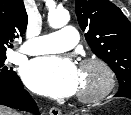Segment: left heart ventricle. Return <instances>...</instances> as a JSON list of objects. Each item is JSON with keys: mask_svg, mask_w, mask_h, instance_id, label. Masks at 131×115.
<instances>
[{"mask_svg": "<svg viewBox=\"0 0 131 115\" xmlns=\"http://www.w3.org/2000/svg\"><path fill=\"white\" fill-rule=\"evenodd\" d=\"M104 76L102 71L95 67L89 66L80 70V82L78 93H91L98 90L103 84Z\"/></svg>", "mask_w": 131, "mask_h": 115, "instance_id": "b2bd125f", "label": "left heart ventricle"}]
</instances>
